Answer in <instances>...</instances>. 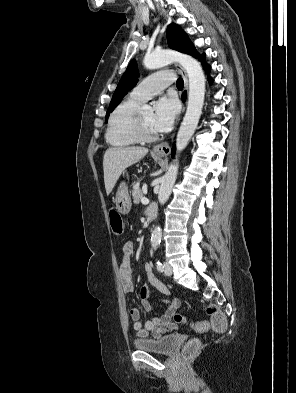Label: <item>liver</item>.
I'll return each mask as SVG.
<instances>
[{"mask_svg":"<svg viewBox=\"0 0 296 393\" xmlns=\"http://www.w3.org/2000/svg\"><path fill=\"white\" fill-rule=\"evenodd\" d=\"M147 153L148 149L144 147H111L106 150L103 157V170L107 195L111 193L125 169L140 161Z\"/></svg>","mask_w":296,"mask_h":393,"instance_id":"1","label":"liver"}]
</instances>
